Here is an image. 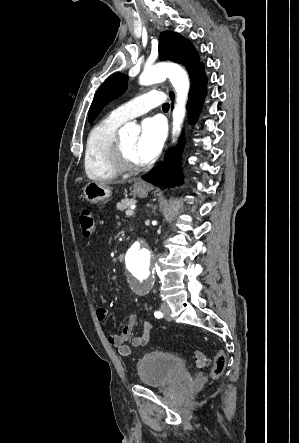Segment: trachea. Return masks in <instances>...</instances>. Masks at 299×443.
Returning <instances> with one entry per match:
<instances>
[{"label": "trachea", "instance_id": "obj_1", "mask_svg": "<svg viewBox=\"0 0 299 443\" xmlns=\"http://www.w3.org/2000/svg\"><path fill=\"white\" fill-rule=\"evenodd\" d=\"M162 108H163V110H168L169 104L168 103L163 104Z\"/></svg>", "mask_w": 299, "mask_h": 443}]
</instances>
